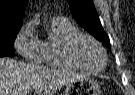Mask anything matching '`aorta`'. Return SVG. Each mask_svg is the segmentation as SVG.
<instances>
[{
	"label": "aorta",
	"mask_w": 135,
	"mask_h": 95,
	"mask_svg": "<svg viewBox=\"0 0 135 95\" xmlns=\"http://www.w3.org/2000/svg\"><path fill=\"white\" fill-rule=\"evenodd\" d=\"M34 23H35L36 25H38V24H39V21L36 19V20L34 21Z\"/></svg>",
	"instance_id": "1"
}]
</instances>
